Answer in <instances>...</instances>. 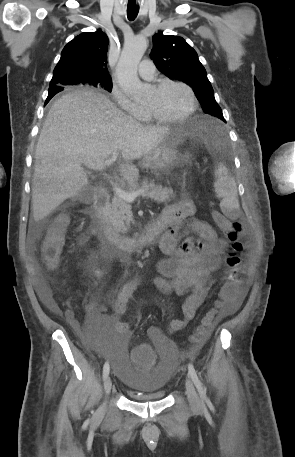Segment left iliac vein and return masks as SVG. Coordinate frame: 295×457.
I'll use <instances>...</instances> for the list:
<instances>
[{
    "mask_svg": "<svg viewBox=\"0 0 295 457\" xmlns=\"http://www.w3.org/2000/svg\"><path fill=\"white\" fill-rule=\"evenodd\" d=\"M185 386L190 406L192 408H198L201 404V401L190 378H186Z\"/></svg>",
    "mask_w": 295,
    "mask_h": 457,
    "instance_id": "obj_1",
    "label": "left iliac vein"
}]
</instances>
